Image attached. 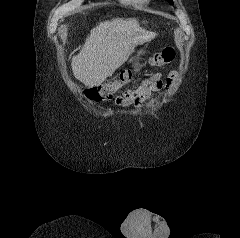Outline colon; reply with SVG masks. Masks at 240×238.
<instances>
[{
	"mask_svg": "<svg viewBox=\"0 0 240 238\" xmlns=\"http://www.w3.org/2000/svg\"><path fill=\"white\" fill-rule=\"evenodd\" d=\"M175 58V51L173 48L167 47L160 52L154 54L149 64L151 66H163L171 63ZM132 80V73L125 70L120 73L119 77L111 82L103 83L84 90L85 96L95 102L110 99L114 93L120 90L124 85Z\"/></svg>",
	"mask_w": 240,
	"mask_h": 238,
	"instance_id": "1",
	"label": "colon"
}]
</instances>
